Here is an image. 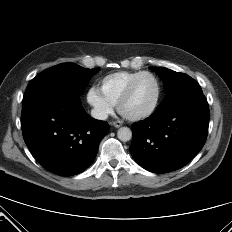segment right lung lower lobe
Returning <instances> with one entry per match:
<instances>
[{
	"label": "right lung lower lobe",
	"mask_w": 232,
	"mask_h": 232,
	"mask_svg": "<svg viewBox=\"0 0 232 232\" xmlns=\"http://www.w3.org/2000/svg\"><path fill=\"white\" fill-rule=\"evenodd\" d=\"M23 137L35 159L63 176L83 172L93 162L109 125L86 114L72 94H45L23 102Z\"/></svg>",
	"instance_id": "1"
}]
</instances>
